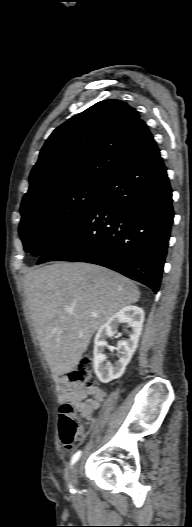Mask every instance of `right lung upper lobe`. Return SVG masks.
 Listing matches in <instances>:
<instances>
[{"label":"right lung upper lobe","instance_id":"cb5924a9","mask_svg":"<svg viewBox=\"0 0 192 527\" xmlns=\"http://www.w3.org/2000/svg\"><path fill=\"white\" fill-rule=\"evenodd\" d=\"M153 140L134 108L117 99L100 101L50 135L22 203L85 181L106 184Z\"/></svg>","mask_w":192,"mask_h":527}]
</instances>
